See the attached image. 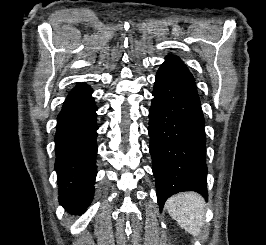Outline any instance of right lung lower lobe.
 <instances>
[{"instance_id": "obj_1", "label": "right lung lower lobe", "mask_w": 266, "mask_h": 245, "mask_svg": "<svg viewBox=\"0 0 266 245\" xmlns=\"http://www.w3.org/2000/svg\"><path fill=\"white\" fill-rule=\"evenodd\" d=\"M92 89L79 83L58 114L55 135L60 204L73 214L83 213L93 198L97 174L96 111Z\"/></svg>"}]
</instances>
